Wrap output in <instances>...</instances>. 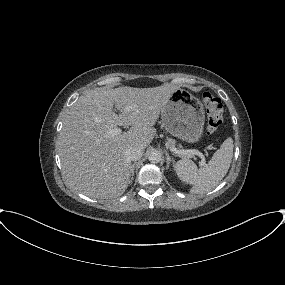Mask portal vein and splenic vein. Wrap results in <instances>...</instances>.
<instances>
[{
    "label": "portal vein and splenic vein",
    "instance_id": "1",
    "mask_svg": "<svg viewBox=\"0 0 285 285\" xmlns=\"http://www.w3.org/2000/svg\"><path fill=\"white\" fill-rule=\"evenodd\" d=\"M127 110H128V108H127ZM121 132H122L121 129H119V128H114V129H111V130L109 131V134H110L111 136H115V135L120 134ZM170 151L173 152V153H175V154H180V153H182V154L197 155V156H199V157L202 159L201 165H205V158H204L203 154H202L201 152H199L198 150H185V151H180V150H178V149H176V148H174V147H171V148H170Z\"/></svg>",
    "mask_w": 285,
    "mask_h": 285
}]
</instances>
